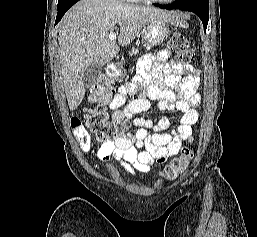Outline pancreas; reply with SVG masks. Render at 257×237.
<instances>
[{
    "label": "pancreas",
    "mask_w": 257,
    "mask_h": 237,
    "mask_svg": "<svg viewBox=\"0 0 257 237\" xmlns=\"http://www.w3.org/2000/svg\"><path fill=\"white\" fill-rule=\"evenodd\" d=\"M138 52H139V50L137 48L136 49L132 48V50L129 54H130V56H132V55H136Z\"/></svg>",
    "instance_id": "pancreas-1"
}]
</instances>
